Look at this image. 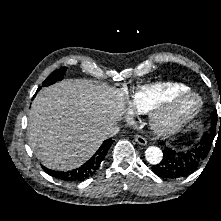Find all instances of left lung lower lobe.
<instances>
[{"instance_id": "obj_1", "label": "left lung lower lobe", "mask_w": 221, "mask_h": 221, "mask_svg": "<svg viewBox=\"0 0 221 221\" xmlns=\"http://www.w3.org/2000/svg\"><path fill=\"white\" fill-rule=\"evenodd\" d=\"M198 147L186 152L164 149L161 162L154 165L152 171L162 179H177L190 175L206 158L204 151Z\"/></svg>"}]
</instances>
